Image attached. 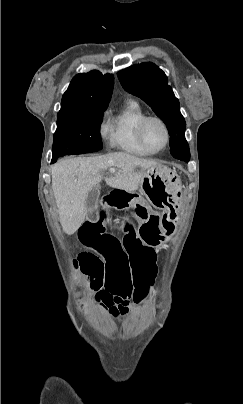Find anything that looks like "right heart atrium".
I'll return each instance as SVG.
<instances>
[{
  "label": "right heart atrium",
  "instance_id": "1",
  "mask_svg": "<svg viewBox=\"0 0 243 404\" xmlns=\"http://www.w3.org/2000/svg\"><path fill=\"white\" fill-rule=\"evenodd\" d=\"M97 133L101 143L106 149L110 150L114 148L113 131L108 110H105L101 115L97 126Z\"/></svg>",
  "mask_w": 243,
  "mask_h": 404
}]
</instances>
